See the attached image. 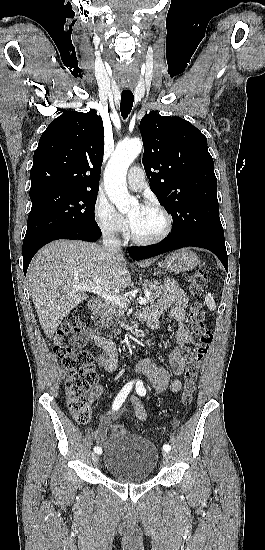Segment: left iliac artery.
<instances>
[{
	"label": "left iliac artery",
	"mask_w": 265,
	"mask_h": 550,
	"mask_svg": "<svg viewBox=\"0 0 265 550\" xmlns=\"http://www.w3.org/2000/svg\"><path fill=\"white\" fill-rule=\"evenodd\" d=\"M136 392L140 396H144L146 394V389L144 388L143 383L141 381H138L136 383ZM163 450L170 451L171 450L170 445L168 444L163 445Z\"/></svg>",
	"instance_id": "obj_1"
}]
</instances>
